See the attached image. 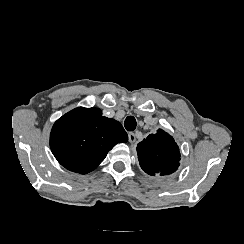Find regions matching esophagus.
Here are the masks:
<instances>
[{
    "mask_svg": "<svg viewBox=\"0 0 244 244\" xmlns=\"http://www.w3.org/2000/svg\"><path fill=\"white\" fill-rule=\"evenodd\" d=\"M128 140H129L130 143L135 142L136 137H135V134L133 132H129L128 133Z\"/></svg>",
    "mask_w": 244,
    "mask_h": 244,
    "instance_id": "1",
    "label": "esophagus"
}]
</instances>
